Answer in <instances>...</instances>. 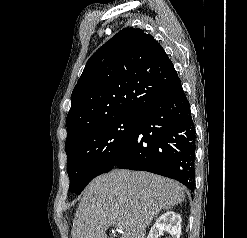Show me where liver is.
I'll return each instance as SVG.
<instances>
[{
    "mask_svg": "<svg viewBox=\"0 0 247 238\" xmlns=\"http://www.w3.org/2000/svg\"><path fill=\"white\" fill-rule=\"evenodd\" d=\"M179 183L143 171L114 169L93 179L82 193L72 238H107L120 224V238H145V229L162 210L184 201Z\"/></svg>",
    "mask_w": 247,
    "mask_h": 238,
    "instance_id": "1",
    "label": "liver"
}]
</instances>
